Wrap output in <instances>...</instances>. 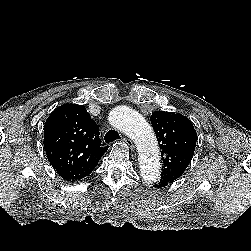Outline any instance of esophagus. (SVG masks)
<instances>
[{
    "label": "esophagus",
    "mask_w": 251,
    "mask_h": 251,
    "mask_svg": "<svg viewBox=\"0 0 251 251\" xmlns=\"http://www.w3.org/2000/svg\"><path fill=\"white\" fill-rule=\"evenodd\" d=\"M123 141L126 142V144L129 146V148L134 151L135 150V146L133 141L130 138L124 137Z\"/></svg>",
    "instance_id": "1"
}]
</instances>
